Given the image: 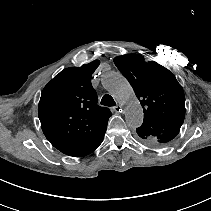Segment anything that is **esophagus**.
<instances>
[{
  "instance_id": "esophagus-1",
  "label": "esophagus",
  "mask_w": 211,
  "mask_h": 211,
  "mask_svg": "<svg viewBox=\"0 0 211 211\" xmlns=\"http://www.w3.org/2000/svg\"><path fill=\"white\" fill-rule=\"evenodd\" d=\"M112 109H113V111L116 112V113L122 112V107H121L120 105L115 106V107H113Z\"/></svg>"
}]
</instances>
